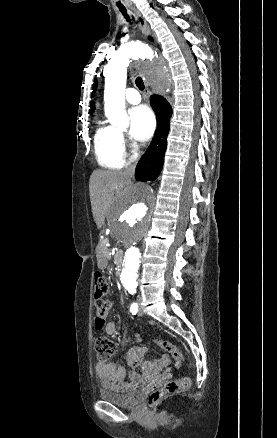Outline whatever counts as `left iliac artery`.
<instances>
[{
    "mask_svg": "<svg viewBox=\"0 0 277 438\" xmlns=\"http://www.w3.org/2000/svg\"><path fill=\"white\" fill-rule=\"evenodd\" d=\"M130 312H131L133 315H136V314H137V312H138V305H137L136 302H133V303L131 304Z\"/></svg>",
    "mask_w": 277,
    "mask_h": 438,
    "instance_id": "obj_1",
    "label": "left iliac artery"
}]
</instances>
